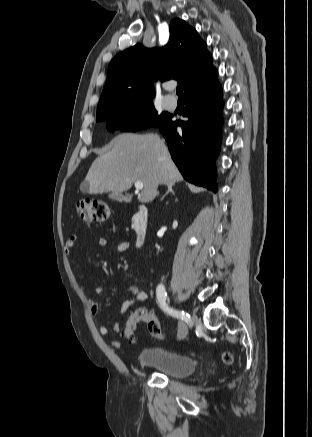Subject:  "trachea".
Masks as SVG:
<instances>
[{"mask_svg": "<svg viewBox=\"0 0 312 437\" xmlns=\"http://www.w3.org/2000/svg\"><path fill=\"white\" fill-rule=\"evenodd\" d=\"M176 93H177V95H178L179 97H182L183 90H182V87H181V86H178V87H177V89H176Z\"/></svg>", "mask_w": 312, "mask_h": 437, "instance_id": "1", "label": "trachea"}]
</instances>
